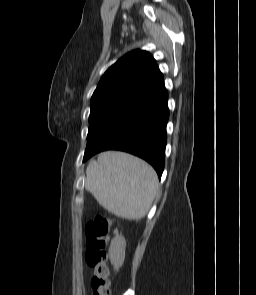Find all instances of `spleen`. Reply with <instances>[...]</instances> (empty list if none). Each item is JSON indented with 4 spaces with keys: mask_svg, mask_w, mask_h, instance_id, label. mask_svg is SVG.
<instances>
[{
    "mask_svg": "<svg viewBox=\"0 0 256 295\" xmlns=\"http://www.w3.org/2000/svg\"><path fill=\"white\" fill-rule=\"evenodd\" d=\"M86 189L107 211L129 220L143 218L158 190L154 169L123 152H103L86 170Z\"/></svg>",
    "mask_w": 256,
    "mask_h": 295,
    "instance_id": "spleen-1",
    "label": "spleen"
}]
</instances>
